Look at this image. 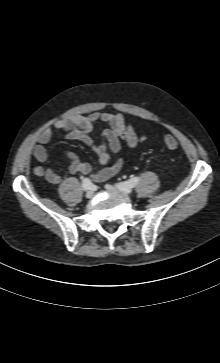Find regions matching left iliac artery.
<instances>
[{
    "mask_svg": "<svg viewBox=\"0 0 220 363\" xmlns=\"http://www.w3.org/2000/svg\"><path fill=\"white\" fill-rule=\"evenodd\" d=\"M139 182V178L138 177H133L131 179H129L128 181L122 182L120 184H118V188H120L121 190L130 192L132 188H134Z\"/></svg>",
    "mask_w": 220,
    "mask_h": 363,
    "instance_id": "1",
    "label": "left iliac artery"
}]
</instances>
